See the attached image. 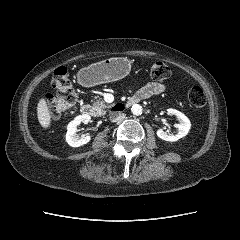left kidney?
Returning <instances> with one entry per match:
<instances>
[{"instance_id": "1", "label": "left kidney", "mask_w": 240, "mask_h": 240, "mask_svg": "<svg viewBox=\"0 0 240 240\" xmlns=\"http://www.w3.org/2000/svg\"><path fill=\"white\" fill-rule=\"evenodd\" d=\"M167 113L169 115H175L177 117L179 121L178 124H175V127L178 129L177 133L175 135H170L162 129H159L156 134L162 140L175 142L188 134L191 128V123L187 116L176 109L169 108L167 109Z\"/></svg>"}]
</instances>
